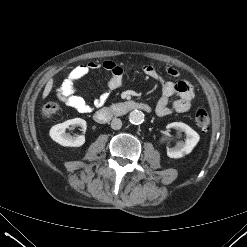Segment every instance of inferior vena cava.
Here are the masks:
<instances>
[{
    "label": "inferior vena cava",
    "mask_w": 247,
    "mask_h": 247,
    "mask_svg": "<svg viewBox=\"0 0 247 247\" xmlns=\"http://www.w3.org/2000/svg\"><path fill=\"white\" fill-rule=\"evenodd\" d=\"M122 127V121L119 118H114L111 122V128L119 130Z\"/></svg>",
    "instance_id": "602c4592"
}]
</instances>
